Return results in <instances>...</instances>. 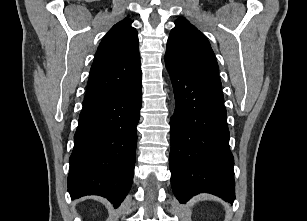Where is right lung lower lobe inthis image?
I'll return each mask as SVG.
<instances>
[{
    "mask_svg": "<svg viewBox=\"0 0 307 221\" xmlns=\"http://www.w3.org/2000/svg\"><path fill=\"white\" fill-rule=\"evenodd\" d=\"M142 82L84 103L70 157L68 192L107 198L119 207L130 190L136 159Z\"/></svg>",
    "mask_w": 307,
    "mask_h": 221,
    "instance_id": "obj_1",
    "label": "right lung lower lobe"
}]
</instances>
